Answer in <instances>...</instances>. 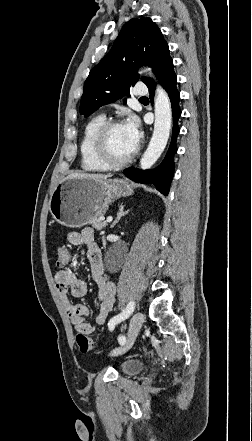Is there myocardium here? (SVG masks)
Returning <instances> with one entry per match:
<instances>
[{"mask_svg":"<svg viewBox=\"0 0 252 441\" xmlns=\"http://www.w3.org/2000/svg\"><path fill=\"white\" fill-rule=\"evenodd\" d=\"M123 125L120 120H105L96 130L92 139V152L95 158L105 165L108 169H120L126 166L133 159L135 150L126 158L115 161L111 159L106 148V138L110 130L116 126Z\"/></svg>","mask_w":252,"mask_h":441,"instance_id":"f54148a6","label":"myocardium"}]
</instances>
